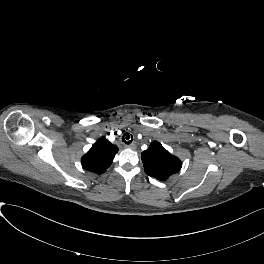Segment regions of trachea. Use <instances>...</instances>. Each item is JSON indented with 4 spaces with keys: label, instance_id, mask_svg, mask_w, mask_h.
Masks as SVG:
<instances>
[{
    "label": "trachea",
    "instance_id": "obj_1",
    "mask_svg": "<svg viewBox=\"0 0 264 264\" xmlns=\"http://www.w3.org/2000/svg\"><path fill=\"white\" fill-rule=\"evenodd\" d=\"M133 140V137L132 135H129L128 133H125L123 136H122V141L125 143V144H130Z\"/></svg>",
    "mask_w": 264,
    "mask_h": 264
}]
</instances>
